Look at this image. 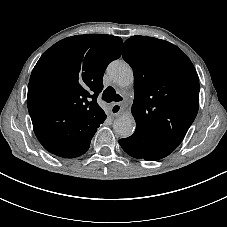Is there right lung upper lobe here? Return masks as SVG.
Segmentation results:
<instances>
[{
	"label": "right lung upper lobe",
	"mask_w": 227,
	"mask_h": 227,
	"mask_svg": "<svg viewBox=\"0 0 227 227\" xmlns=\"http://www.w3.org/2000/svg\"><path fill=\"white\" fill-rule=\"evenodd\" d=\"M122 39L112 35H77L50 47L35 65L27 106L34 132L50 153L84 154L106 119L97 104L107 65L120 57Z\"/></svg>",
	"instance_id": "obj_1"
}]
</instances>
